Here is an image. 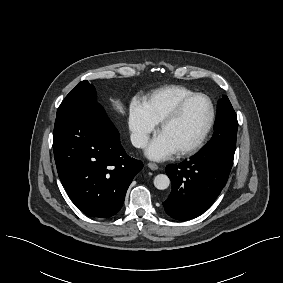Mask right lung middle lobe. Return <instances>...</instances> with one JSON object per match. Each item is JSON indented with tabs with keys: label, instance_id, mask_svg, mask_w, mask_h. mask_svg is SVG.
<instances>
[{
	"label": "right lung middle lobe",
	"instance_id": "obj_1",
	"mask_svg": "<svg viewBox=\"0 0 283 283\" xmlns=\"http://www.w3.org/2000/svg\"><path fill=\"white\" fill-rule=\"evenodd\" d=\"M96 103V91L88 81H82L66 96L61 103L57 116L75 108Z\"/></svg>",
	"mask_w": 283,
	"mask_h": 283
}]
</instances>
